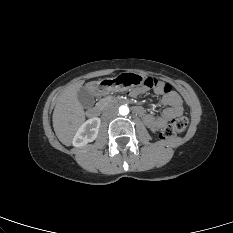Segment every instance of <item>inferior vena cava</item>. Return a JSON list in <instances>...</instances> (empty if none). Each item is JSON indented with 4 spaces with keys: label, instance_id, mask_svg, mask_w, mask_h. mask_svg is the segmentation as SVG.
Masks as SVG:
<instances>
[{
    "label": "inferior vena cava",
    "instance_id": "602c4592",
    "mask_svg": "<svg viewBox=\"0 0 233 233\" xmlns=\"http://www.w3.org/2000/svg\"><path fill=\"white\" fill-rule=\"evenodd\" d=\"M116 115H117L116 109L111 108V109L104 111L102 114V117L105 120H110V119L114 118Z\"/></svg>",
    "mask_w": 233,
    "mask_h": 233
}]
</instances>
